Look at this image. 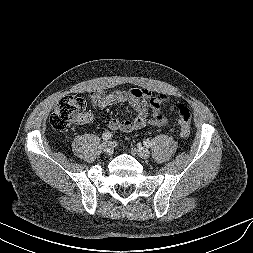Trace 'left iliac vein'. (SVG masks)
<instances>
[{"label":"left iliac vein","mask_w":253,"mask_h":253,"mask_svg":"<svg viewBox=\"0 0 253 253\" xmlns=\"http://www.w3.org/2000/svg\"><path fill=\"white\" fill-rule=\"evenodd\" d=\"M135 151L137 152V154L142 158V159H148L150 156V152L148 151V149L142 147V146H138Z\"/></svg>","instance_id":"obj_1"}]
</instances>
